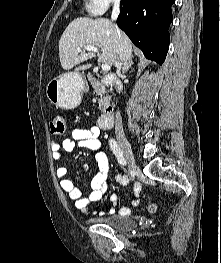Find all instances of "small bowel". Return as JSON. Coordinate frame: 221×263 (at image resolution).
<instances>
[{"instance_id":"c3829d8e","label":"small bowel","mask_w":221,"mask_h":263,"mask_svg":"<svg viewBox=\"0 0 221 263\" xmlns=\"http://www.w3.org/2000/svg\"><path fill=\"white\" fill-rule=\"evenodd\" d=\"M101 129L98 126H92L89 129H74L70 137L65 138L61 142L51 143L52 158L58 161L62 158L63 152H70L76 148H85L92 151L95 155V159L98 166V172L94 175L90 183V192L87 196H83L81 191L76 187L74 182L68 178V169L65 166L58 167L56 170V176L59 180L60 188L64 193L71 197L75 201V206L84 214H95L90 205L98 202L108 191V172H109V159L104 150L102 149L99 136ZM84 171H88V167H83ZM116 181L119 184L127 185L130 179L126 175L118 174ZM140 192L141 184L135 182L133 185V197L132 207L137 208L140 205ZM113 203L117 201V195L113 193L111 195ZM115 210L112 207H106L102 210V215H110ZM130 212V208L121 207L118 209L120 215H127Z\"/></svg>"}]
</instances>
